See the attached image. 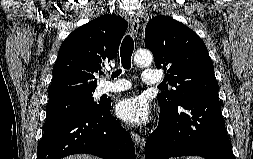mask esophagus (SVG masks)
<instances>
[{
	"mask_svg": "<svg viewBox=\"0 0 253 159\" xmlns=\"http://www.w3.org/2000/svg\"><path fill=\"white\" fill-rule=\"evenodd\" d=\"M130 24H131V33L133 38H137L138 30H139V19L136 16L130 17ZM131 137L134 142V144L137 146V148L140 150V152H143V148L145 145V138L138 134L135 131L131 132Z\"/></svg>",
	"mask_w": 253,
	"mask_h": 159,
	"instance_id": "esophagus-1",
	"label": "esophagus"
}]
</instances>
